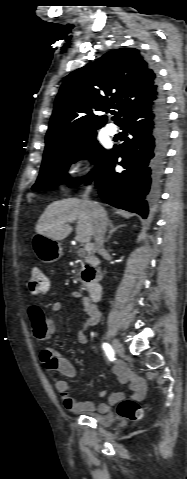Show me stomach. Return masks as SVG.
Instances as JSON below:
<instances>
[{
	"instance_id": "stomach-1",
	"label": "stomach",
	"mask_w": 187,
	"mask_h": 479,
	"mask_svg": "<svg viewBox=\"0 0 187 479\" xmlns=\"http://www.w3.org/2000/svg\"><path fill=\"white\" fill-rule=\"evenodd\" d=\"M32 247L36 257L42 262L57 261L63 254L60 242L38 233L32 238Z\"/></svg>"
}]
</instances>
